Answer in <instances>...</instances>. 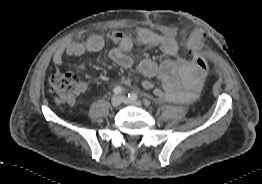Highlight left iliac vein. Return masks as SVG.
<instances>
[{
	"instance_id": "left-iliac-vein-1",
	"label": "left iliac vein",
	"mask_w": 262,
	"mask_h": 184,
	"mask_svg": "<svg viewBox=\"0 0 262 184\" xmlns=\"http://www.w3.org/2000/svg\"><path fill=\"white\" fill-rule=\"evenodd\" d=\"M121 100H122L123 103L128 104V105H135V106H141L142 105L141 101H139L137 99L133 100V99H130V98L125 97V96H122Z\"/></svg>"
}]
</instances>
